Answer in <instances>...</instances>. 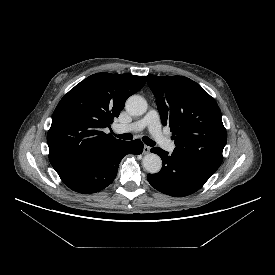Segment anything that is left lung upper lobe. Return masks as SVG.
I'll list each match as a JSON object with an SVG mask.
<instances>
[{
    "instance_id": "1",
    "label": "left lung upper lobe",
    "mask_w": 275,
    "mask_h": 275,
    "mask_svg": "<svg viewBox=\"0 0 275 275\" xmlns=\"http://www.w3.org/2000/svg\"><path fill=\"white\" fill-rule=\"evenodd\" d=\"M164 126L173 132V152L211 173L222 163L227 132L218 104L200 85L183 76H147Z\"/></svg>"
}]
</instances>
